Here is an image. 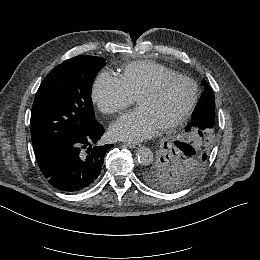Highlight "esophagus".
Here are the masks:
<instances>
[{
	"label": "esophagus",
	"mask_w": 260,
	"mask_h": 260,
	"mask_svg": "<svg viewBox=\"0 0 260 260\" xmlns=\"http://www.w3.org/2000/svg\"><path fill=\"white\" fill-rule=\"evenodd\" d=\"M124 144L127 147L134 148V149H137V148L141 147V145L139 143H134V142H125Z\"/></svg>",
	"instance_id": "1"
}]
</instances>
